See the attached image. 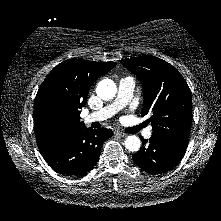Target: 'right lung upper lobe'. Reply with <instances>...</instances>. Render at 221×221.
Listing matches in <instances>:
<instances>
[{
  "instance_id": "cb5924a9",
  "label": "right lung upper lobe",
  "mask_w": 221,
  "mask_h": 221,
  "mask_svg": "<svg viewBox=\"0 0 221 221\" xmlns=\"http://www.w3.org/2000/svg\"><path fill=\"white\" fill-rule=\"evenodd\" d=\"M115 64L73 58L61 62L47 75L34 103L36 140L42 156L85 128L80 109L86 104L88 91Z\"/></svg>"
}]
</instances>
